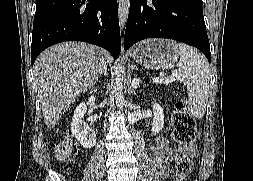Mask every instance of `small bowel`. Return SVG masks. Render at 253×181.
I'll return each mask as SVG.
<instances>
[{"label":"small bowel","instance_id":"obj_1","mask_svg":"<svg viewBox=\"0 0 253 181\" xmlns=\"http://www.w3.org/2000/svg\"><path fill=\"white\" fill-rule=\"evenodd\" d=\"M183 153L182 147L171 145L165 138L158 139L151 148V157L162 178L169 176L171 166L179 160ZM193 154L196 155L197 152L193 151Z\"/></svg>","mask_w":253,"mask_h":181}]
</instances>
